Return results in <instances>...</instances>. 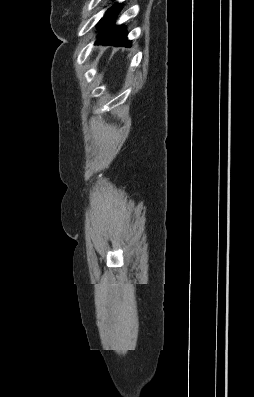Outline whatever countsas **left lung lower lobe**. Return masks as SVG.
Returning a JSON list of instances; mask_svg holds the SVG:
<instances>
[{
	"label": "left lung lower lobe",
	"mask_w": 254,
	"mask_h": 397,
	"mask_svg": "<svg viewBox=\"0 0 254 397\" xmlns=\"http://www.w3.org/2000/svg\"><path fill=\"white\" fill-rule=\"evenodd\" d=\"M121 5L115 4L110 8L105 17L100 21L98 27L100 30L104 29V32L99 35L95 44L102 45H113V46H125L130 47L131 41L127 38V32L124 26L114 24V16L120 11Z\"/></svg>",
	"instance_id": "left-lung-lower-lobe-1"
}]
</instances>
